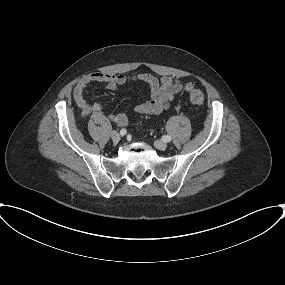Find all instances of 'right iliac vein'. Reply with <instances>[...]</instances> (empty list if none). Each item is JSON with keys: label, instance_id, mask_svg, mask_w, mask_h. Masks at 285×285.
<instances>
[{"label": "right iliac vein", "instance_id": "63e3f726", "mask_svg": "<svg viewBox=\"0 0 285 285\" xmlns=\"http://www.w3.org/2000/svg\"><path fill=\"white\" fill-rule=\"evenodd\" d=\"M111 138H112L114 143H118L120 141L121 136L117 131L113 130L111 132Z\"/></svg>", "mask_w": 285, "mask_h": 285}]
</instances>
